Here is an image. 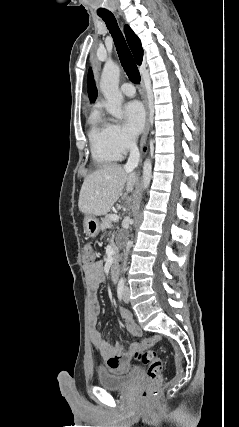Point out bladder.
<instances>
[{"mask_svg": "<svg viewBox=\"0 0 239 427\" xmlns=\"http://www.w3.org/2000/svg\"><path fill=\"white\" fill-rule=\"evenodd\" d=\"M139 374L140 370L138 368H131L124 374L99 370L97 373V381L98 384L106 390H124L133 384Z\"/></svg>", "mask_w": 239, "mask_h": 427, "instance_id": "1", "label": "bladder"}]
</instances>
